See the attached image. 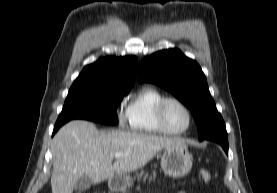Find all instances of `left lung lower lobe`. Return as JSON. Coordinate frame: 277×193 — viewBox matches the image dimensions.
I'll list each match as a JSON object with an SVG mask.
<instances>
[{"mask_svg": "<svg viewBox=\"0 0 277 193\" xmlns=\"http://www.w3.org/2000/svg\"><path fill=\"white\" fill-rule=\"evenodd\" d=\"M209 140L219 143L228 154V135L227 132H218L210 135Z\"/></svg>", "mask_w": 277, "mask_h": 193, "instance_id": "0a47b994", "label": "left lung lower lobe"}]
</instances>
